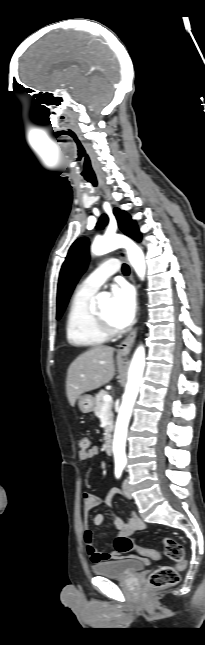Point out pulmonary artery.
I'll use <instances>...</instances> for the list:
<instances>
[{
    "label": "pulmonary artery",
    "mask_w": 205,
    "mask_h": 645,
    "mask_svg": "<svg viewBox=\"0 0 205 645\" xmlns=\"http://www.w3.org/2000/svg\"><path fill=\"white\" fill-rule=\"evenodd\" d=\"M119 269L120 263L117 259L106 260L82 281L78 290L88 293H96L100 286L114 273L119 271Z\"/></svg>",
    "instance_id": "1"
}]
</instances>
